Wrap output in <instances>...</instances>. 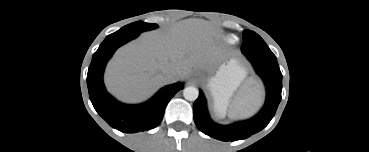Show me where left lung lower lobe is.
<instances>
[{"instance_id":"1","label":"left lung lower lobe","mask_w":369,"mask_h":152,"mask_svg":"<svg viewBox=\"0 0 369 152\" xmlns=\"http://www.w3.org/2000/svg\"><path fill=\"white\" fill-rule=\"evenodd\" d=\"M252 63L256 73L266 85V101L262 110L253 118L231 125H218L208 114L206 99L200 91L194 102V121L197 128L206 135L222 141L246 139L265 128L275 115L281 100L282 74L276 58L245 55Z\"/></svg>"}]
</instances>
